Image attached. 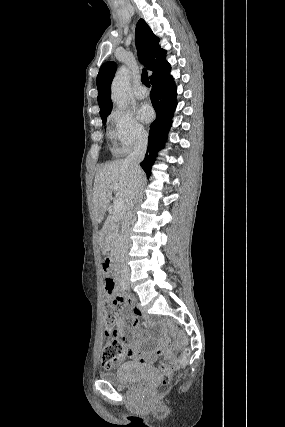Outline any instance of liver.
<instances>
[{"mask_svg": "<svg viewBox=\"0 0 285 427\" xmlns=\"http://www.w3.org/2000/svg\"><path fill=\"white\" fill-rule=\"evenodd\" d=\"M117 185L116 195L123 200L126 209L134 187V174L126 160H116L102 166L96 173L93 186V204L95 220L101 223L108 204L112 198V185ZM107 218L103 230L109 225ZM102 235V233H101Z\"/></svg>", "mask_w": 285, "mask_h": 427, "instance_id": "6515ba94", "label": "liver"}]
</instances>
